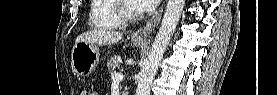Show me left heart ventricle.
<instances>
[{
    "instance_id": "b2bd125f",
    "label": "left heart ventricle",
    "mask_w": 277,
    "mask_h": 95,
    "mask_svg": "<svg viewBox=\"0 0 277 95\" xmlns=\"http://www.w3.org/2000/svg\"><path fill=\"white\" fill-rule=\"evenodd\" d=\"M127 11L130 14H136L137 12H139L140 8L138 6V3L136 1H129L127 3Z\"/></svg>"
}]
</instances>
